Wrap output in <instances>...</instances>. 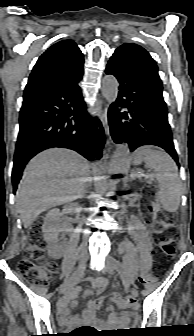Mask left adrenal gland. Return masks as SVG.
I'll return each mask as SVG.
<instances>
[{
	"label": "left adrenal gland",
	"mask_w": 194,
	"mask_h": 336,
	"mask_svg": "<svg viewBox=\"0 0 194 336\" xmlns=\"http://www.w3.org/2000/svg\"><path fill=\"white\" fill-rule=\"evenodd\" d=\"M137 177V174L135 172H132L130 175V180H134Z\"/></svg>",
	"instance_id": "obj_1"
}]
</instances>
